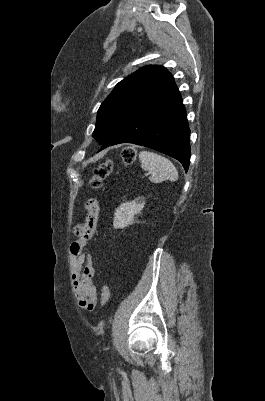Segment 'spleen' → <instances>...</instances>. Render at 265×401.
<instances>
[{"label": "spleen", "instance_id": "obj_1", "mask_svg": "<svg viewBox=\"0 0 265 401\" xmlns=\"http://www.w3.org/2000/svg\"><path fill=\"white\" fill-rule=\"evenodd\" d=\"M141 168L144 170H151V182H162V180H177L178 170L172 164L171 160L156 154V152H149V150H141L139 154Z\"/></svg>", "mask_w": 265, "mask_h": 401}]
</instances>
